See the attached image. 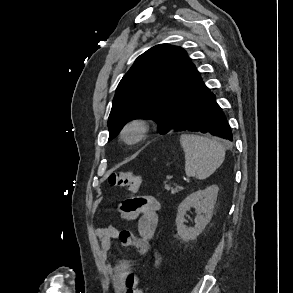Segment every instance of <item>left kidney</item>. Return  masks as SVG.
<instances>
[{
    "mask_svg": "<svg viewBox=\"0 0 293 293\" xmlns=\"http://www.w3.org/2000/svg\"><path fill=\"white\" fill-rule=\"evenodd\" d=\"M219 187L212 185L188 195L179 205L176 216L177 234L183 241L195 240L210 222L216 204ZM195 208L197 216L194 227H186L185 214Z\"/></svg>",
    "mask_w": 293,
    "mask_h": 293,
    "instance_id": "obj_1",
    "label": "left kidney"
}]
</instances>
